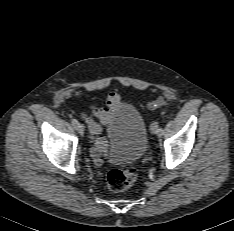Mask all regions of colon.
Returning <instances> with one entry per match:
<instances>
[{"label":"colon","instance_id":"obj_1","mask_svg":"<svg viewBox=\"0 0 234 231\" xmlns=\"http://www.w3.org/2000/svg\"><path fill=\"white\" fill-rule=\"evenodd\" d=\"M136 179V170L132 166L113 168L107 175L110 190L120 192L129 188Z\"/></svg>","mask_w":234,"mask_h":231}]
</instances>
